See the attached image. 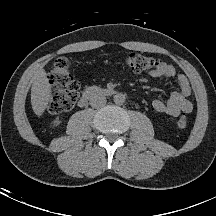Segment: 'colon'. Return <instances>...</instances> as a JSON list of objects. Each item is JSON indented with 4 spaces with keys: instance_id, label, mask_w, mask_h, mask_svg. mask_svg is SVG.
<instances>
[{
    "instance_id": "obj_1",
    "label": "colon",
    "mask_w": 216,
    "mask_h": 216,
    "mask_svg": "<svg viewBox=\"0 0 216 216\" xmlns=\"http://www.w3.org/2000/svg\"><path fill=\"white\" fill-rule=\"evenodd\" d=\"M161 61L152 56L132 52L124 57V65L132 71H154L160 67ZM50 81L55 86L51 93L48 109L53 114H59L71 110L79 96L80 85L70 72V61L67 57H58L53 64L49 75ZM176 128L183 130L188 125L186 115H180L176 122Z\"/></svg>"
}]
</instances>
